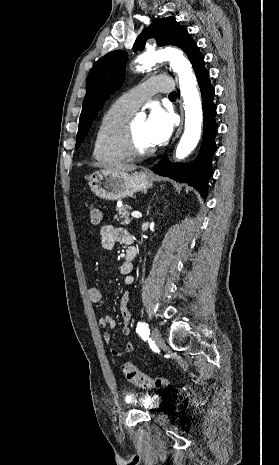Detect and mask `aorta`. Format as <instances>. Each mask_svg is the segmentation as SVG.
<instances>
[{
  "mask_svg": "<svg viewBox=\"0 0 279 465\" xmlns=\"http://www.w3.org/2000/svg\"><path fill=\"white\" fill-rule=\"evenodd\" d=\"M161 60H168L170 67L179 78L185 110V128L176 149V157L183 159L197 146L200 139L203 120L201 99L192 66L179 50L166 49L152 54H143L136 60L139 64L137 70H143Z\"/></svg>",
  "mask_w": 279,
  "mask_h": 465,
  "instance_id": "obj_1",
  "label": "aorta"
}]
</instances>
